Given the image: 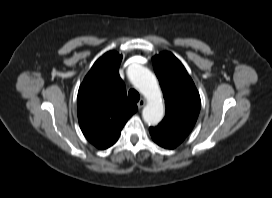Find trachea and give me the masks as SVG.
Wrapping results in <instances>:
<instances>
[{
    "label": "trachea",
    "instance_id": "1",
    "mask_svg": "<svg viewBox=\"0 0 272 198\" xmlns=\"http://www.w3.org/2000/svg\"><path fill=\"white\" fill-rule=\"evenodd\" d=\"M128 97L132 102H138L140 99V95L135 89L129 90Z\"/></svg>",
    "mask_w": 272,
    "mask_h": 198
}]
</instances>
